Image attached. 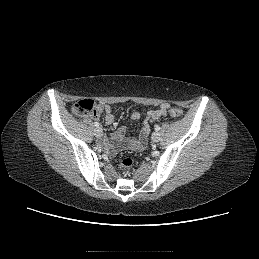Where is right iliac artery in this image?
<instances>
[{"label":"right iliac artery","mask_w":259,"mask_h":259,"mask_svg":"<svg viewBox=\"0 0 259 259\" xmlns=\"http://www.w3.org/2000/svg\"><path fill=\"white\" fill-rule=\"evenodd\" d=\"M94 125H95L96 127H99V123H98V122H94Z\"/></svg>","instance_id":"1"}]
</instances>
